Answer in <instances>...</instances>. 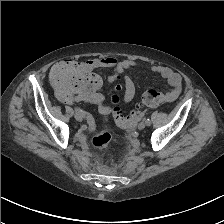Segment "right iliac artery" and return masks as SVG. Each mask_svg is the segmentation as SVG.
<instances>
[{"label":"right iliac artery","mask_w":224,"mask_h":224,"mask_svg":"<svg viewBox=\"0 0 224 224\" xmlns=\"http://www.w3.org/2000/svg\"><path fill=\"white\" fill-rule=\"evenodd\" d=\"M75 112L81 114L83 117L90 118V116L80 108H75Z\"/></svg>","instance_id":"82829eb1"}]
</instances>
